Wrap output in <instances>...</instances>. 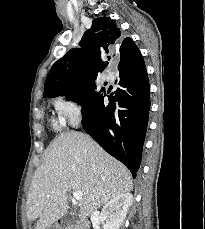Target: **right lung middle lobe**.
Here are the masks:
<instances>
[{
    "mask_svg": "<svg viewBox=\"0 0 205 229\" xmlns=\"http://www.w3.org/2000/svg\"><path fill=\"white\" fill-rule=\"evenodd\" d=\"M95 82L90 84L80 85L76 90L71 92L67 97L71 99H78L89 95L95 89Z\"/></svg>",
    "mask_w": 205,
    "mask_h": 229,
    "instance_id": "dd1d6c3e",
    "label": "right lung middle lobe"
}]
</instances>
